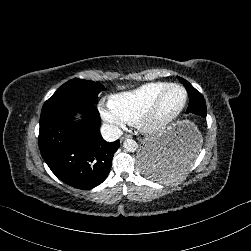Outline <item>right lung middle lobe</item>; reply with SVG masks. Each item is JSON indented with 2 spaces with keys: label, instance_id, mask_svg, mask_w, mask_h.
Instances as JSON below:
<instances>
[{
  "label": "right lung middle lobe",
  "instance_id": "dd1d6c3e",
  "mask_svg": "<svg viewBox=\"0 0 251 251\" xmlns=\"http://www.w3.org/2000/svg\"><path fill=\"white\" fill-rule=\"evenodd\" d=\"M104 90V86L94 81L72 79L59 87L46 103L65 100H78L90 104H96L98 94Z\"/></svg>",
  "mask_w": 251,
  "mask_h": 251
}]
</instances>
